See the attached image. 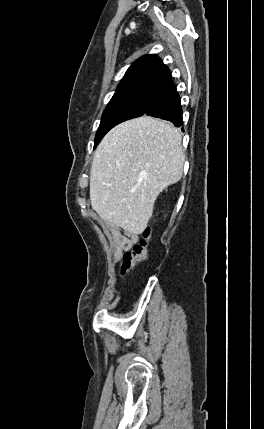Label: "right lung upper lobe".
<instances>
[{"mask_svg": "<svg viewBox=\"0 0 264 429\" xmlns=\"http://www.w3.org/2000/svg\"><path fill=\"white\" fill-rule=\"evenodd\" d=\"M170 80L169 69L160 58L146 55L129 67L116 91L144 86L163 88Z\"/></svg>", "mask_w": 264, "mask_h": 429, "instance_id": "cb5924a9", "label": "right lung upper lobe"}]
</instances>
